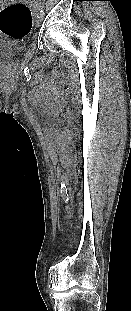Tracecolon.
<instances>
[{"label":"colon","mask_w":131,"mask_h":311,"mask_svg":"<svg viewBox=\"0 0 131 311\" xmlns=\"http://www.w3.org/2000/svg\"><path fill=\"white\" fill-rule=\"evenodd\" d=\"M32 28V14L23 3H13L0 11V32L13 39L28 35Z\"/></svg>","instance_id":"obj_1"}]
</instances>
